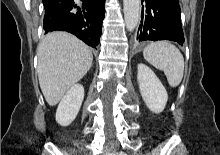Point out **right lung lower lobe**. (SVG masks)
<instances>
[{
  "label": "right lung lower lobe",
  "mask_w": 220,
  "mask_h": 155,
  "mask_svg": "<svg viewBox=\"0 0 220 155\" xmlns=\"http://www.w3.org/2000/svg\"><path fill=\"white\" fill-rule=\"evenodd\" d=\"M82 2L79 7L74 0H43L44 30L70 32L94 48L99 44L102 33L105 0Z\"/></svg>",
  "instance_id": "1"
}]
</instances>
